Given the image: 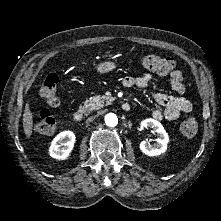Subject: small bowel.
Returning a JSON list of instances; mask_svg holds the SVG:
<instances>
[{
	"instance_id": "small-bowel-1",
	"label": "small bowel",
	"mask_w": 221,
	"mask_h": 221,
	"mask_svg": "<svg viewBox=\"0 0 221 221\" xmlns=\"http://www.w3.org/2000/svg\"><path fill=\"white\" fill-rule=\"evenodd\" d=\"M151 79L150 74H143L138 77L127 76L123 78L122 85L127 89H142L150 83ZM170 83L172 90L177 94L176 96L162 92H154L152 95L155 102L161 106V108L152 111V117L157 120H176L181 114L192 111V103L184 97L186 91L184 74L180 70H174L170 74Z\"/></svg>"
}]
</instances>
